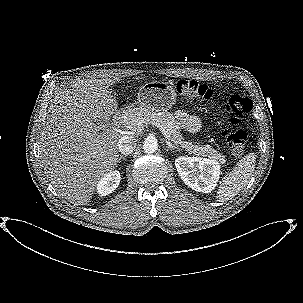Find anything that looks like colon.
<instances>
[{
  "instance_id": "obj_1",
  "label": "colon",
  "mask_w": 303,
  "mask_h": 303,
  "mask_svg": "<svg viewBox=\"0 0 303 303\" xmlns=\"http://www.w3.org/2000/svg\"><path fill=\"white\" fill-rule=\"evenodd\" d=\"M178 91L188 98L198 99L204 102L213 100V91L206 85L195 81H181ZM252 103L248 98L238 94H231L226 102L225 110L230 118L231 124L237 126L243 117L250 112ZM223 136L227 140L232 154L240 157L244 154L247 142V134L241 128H225Z\"/></svg>"
}]
</instances>
